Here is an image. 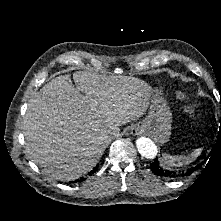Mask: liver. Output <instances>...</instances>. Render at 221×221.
I'll return each instance as SVG.
<instances>
[{"instance_id":"6515ba94","label":"liver","mask_w":221,"mask_h":221,"mask_svg":"<svg viewBox=\"0 0 221 221\" xmlns=\"http://www.w3.org/2000/svg\"><path fill=\"white\" fill-rule=\"evenodd\" d=\"M45 84L29 100L23 120L27 153L43 171L69 181L91 170L110 141L105 132L138 120L149 107L143 80L79 71Z\"/></svg>"}]
</instances>
